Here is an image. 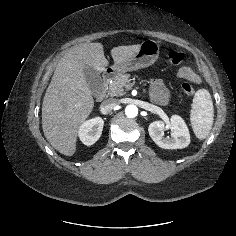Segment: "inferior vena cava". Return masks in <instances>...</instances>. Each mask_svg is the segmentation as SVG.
Masks as SVG:
<instances>
[{"label": "inferior vena cava", "mask_w": 236, "mask_h": 236, "mask_svg": "<svg viewBox=\"0 0 236 236\" xmlns=\"http://www.w3.org/2000/svg\"><path fill=\"white\" fill-rule=\"evenodd\" d=\"M119 105V100L116 98H108L101 103V111L103 114L111 112Z\"/></svg>", "instance_id": "602c4592"}]
</instances>
